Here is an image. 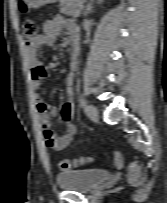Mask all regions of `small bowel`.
<instances>
[{
    "mask_svg": "<svg viewBox=\"0 0 167 203\" xmlns=\"http://www.w3.org/2000/svg\"><path fill=\"white\" fill-rule=\"evenodd\" d=\"M42 33L35 39L27 41L26 53L30 65L31 81L34 87H38L41 81L47 76L48 67L40 60L39 53L45 47L55 45L61 32L65 30L73 40H77L78 28L76 23L70 19H64L56 16L43 23ZM77 68V60L71 58L70 73L66 77V83L71 85L74 79V72ZM75 104L72 98H69L64 105L59 108L43 101L40 95H36V112L42 127V135L45 144L52 150H62L66 148L77 135V128L72 123ZM60 116L65 124V132L57 136L50 127L51 119Z\"/></svg>",
    "mask_w": 167,
    "mask_h": 203,
    "instance_id": "1",
    "label": "small bowel"
}]
</instances>
